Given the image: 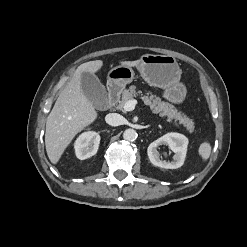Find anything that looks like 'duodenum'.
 <instances>
[{
    "label": "duodenum",
    "mask_w": 247,
    "mask_h": 247,
    "mask_svg": "<svg viewBox=\"0 0 247 247\" xmlns=\"http://www.w3.org/2000/svg\"><path fill=\"white\" fill-rule=\"evenodd\" d=\"M119 98V89L115 86H111L108 90V100L107 105L108 107H112Z\"/></svg>",
    "instance_id": "410a0bca"
}]
</instances>
